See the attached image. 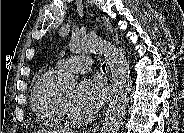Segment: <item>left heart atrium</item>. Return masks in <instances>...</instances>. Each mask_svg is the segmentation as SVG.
Returning a JSON list of instances; mask_svg holds the SVG:
<instances>
[{"mask_svg": "<svg viewBox=\"0 0 184 133\" xmlns=\"http://www.w3.org/2000/svg\"><path fill=\"white\" fill-rule=\"evenodd\" d=\"M106 96V88L101 81L84 79L75 89L73 106L83 113L92 114L102 107Z\"/></svg>", "mask_w": 184, "mask_h": 133, "instance_id": "39dd6f15", "label": "left heart atrium"}]
</instances>
